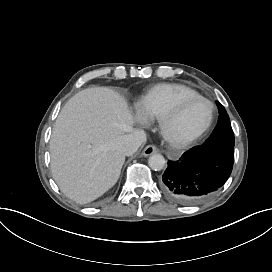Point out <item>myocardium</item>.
Wrapping results in <instances>:
<instances>
[{
  "label": "myocardium",
  "instance_id": "myocardium-1",
  "mask_svg": "<svg viewBox=\"0 0 272 272\" xmlns=\"http://www.w3.org/2000/svg\"><path fill=\"white\" fill-rule=\"evenodd\" d=\"M194 100L204 101L209 106V111H210L209 118H208L206 124L204 126H202L201 128H199L198 130H195L192 132H181L175 128L170 129V125L167 120V115H164L163 122H162V129L166 135H170L171 138L177 143H187V142H190V141L200 137L201 135H203L205 132H207L210 129V127L212 126V124L214 122V118H215V114H216V107H215L214 103L210 99L204 97L203 95H199V94L183 98L175 106V108L173 110V112L176 113V117L179 116L184 111L186 106Z\"/></svg>",
  "mask_w": 272,
  "mask_h": 272
}]
</instances>
